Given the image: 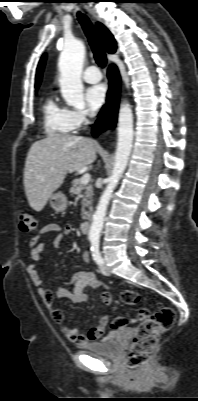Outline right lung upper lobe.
Returning a JSON list of instances; mask_svg holds the SVG:
<instances>
[{"label": "right lung upper lobe", "instance_id": "cb5924a9", "mask_svg": "<svg viewBox=\"0 0 198 401\" xmlns=\"http://www.w3.org/2000/svg\"><path fill=\"white\" fill-rule=\"evenodd\" d=\"M96 28L101 36L103 46L108 53H114L116 51V42L113 35L109 30L101 23L96 24ZM46 54H44L38 64L36 71L35 88H38L41 83L42 73L45 65Z\"/></svg>", "mask_w": 198, "mask_h": 401}]
</instances>
